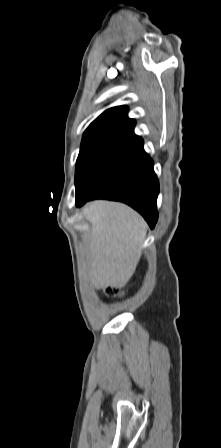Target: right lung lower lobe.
Instances as JSON below:
<instances>
[{"label": "right lung lower lobe", "mask_w": 221, "mask_h": 448, "mask_svg": "<svg viewBox=\"0 0 221 448\" xmlns=\"http://www.w3.org/2000/svg\"><path fill=\"white\" fill-rule=\"evenodd\" d=\"M153 167L152 159L144 151L143 139L134 135L99 163L77 193L75 204L81 207L98 198L121 201L137 210L154 228L158 219L159 181Z\"/></svg>", "instance_id": "1"}]
</instances>
